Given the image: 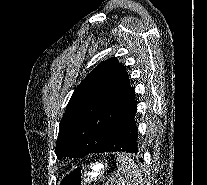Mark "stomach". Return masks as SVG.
Here are the masks:
<instances>
[{"instance_id":"0dacf381","label":"stomach","mask_w":207,"mask_h":185,"mask_svg":"<svg viewBox=\"0 0 207 185\" xmlns=\"http://www.w3.org/2000/svg\"><path fill=\"white\" fill-rule=\"evenodd\" d=\"M92 172H88L86 167H77L66 174L61 181V185H86L90 178L95 179L99 174H102L101 170L104 169V165L96 163L91 165Z\"/></svg>"}]
</instances>
